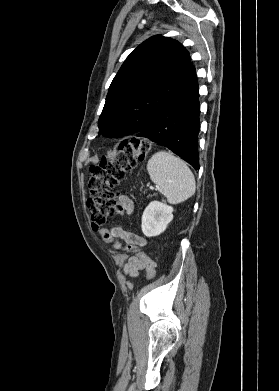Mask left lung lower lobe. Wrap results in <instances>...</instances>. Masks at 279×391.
<instances>
[{"label":"left lung lower lobe","mask_w":279,"mask_h":391,"mask_svg":"<svg viewBox=\"0 0 279 391\" xmlns=\"http://www.w3.org/2000/svg\"><path fill=\"white\" fill-rule=\"evenodd\" d=\"M199 114V88L195 74L186 88L137 136L166 146L195 169H199Z\"/></svg>","instance_id":"left-lung-lower-lobe-1"}]
</instances>
